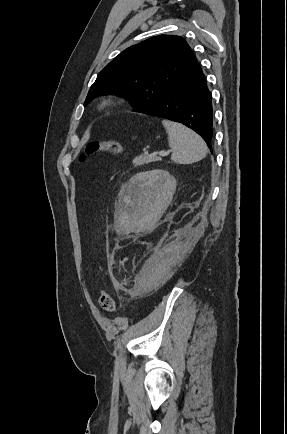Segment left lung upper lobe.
I'll return each mask as SVG.
<instances>
[{"mask_svg": "<svg viewBox=\"0 0 287 434\" xmlns=\"http://www.w3.org/2000/svg\"><path fill=\"white\" fill-rule=\"evenodd\" d=\"M196 64L183 38L152 37L116 56L98 74L84 105L102 94H116L129 98L139 112L156 104Z\"/></svg>", "mask_w": 287, "mask_h": 434, "instance_id": "obj_1", "label": "left lung upper lobe"}]
</instances>
